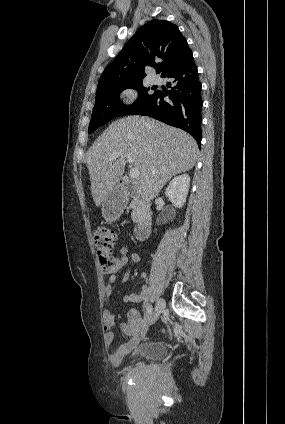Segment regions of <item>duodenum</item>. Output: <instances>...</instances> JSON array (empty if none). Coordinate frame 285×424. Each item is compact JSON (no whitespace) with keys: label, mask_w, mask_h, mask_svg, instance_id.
Here are the masks:
<instances>
[{"label":"duodenum","mask_w":285,"mask_h":424,"mask_svg":"<svg viewBox=\"0 0 285 424\" xmlns=\"http://www.w3.org/2000/svg\"><path fill=\"white\" fill-rule=\"evenodd\" d=\"M123 190L128 193L136 192L137 185L129 177H123L120 181ZM139 218L135 229V237L138 241H145L149 238L153 224V212L148 205L140 201L138 203Z\"/></svg>","instance_id":"410a0bca"}]
</instances>
